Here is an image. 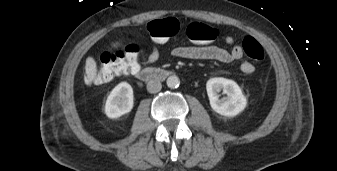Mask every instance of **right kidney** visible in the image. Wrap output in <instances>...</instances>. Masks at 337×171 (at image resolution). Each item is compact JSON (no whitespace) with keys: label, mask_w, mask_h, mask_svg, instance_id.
Returning a JSON list of instances; mask_svg holds the SVG:
<instances>
[{"label":"right kidney","mask_w":337,"mask_h":171,"mask_svg":"<svg viewBox=\"0 0 337 171\" xmlns=\"http://www.w3.org/2000/svg\"><path fill=\"white\" fill-rule=\"evenodd\" d=\"M134 105L133 89L127 82H121L110 92L106 104L105 114L109 118H119L129 113Z\"/></svg>","instance_id":"obj_1"}]
</instances>
